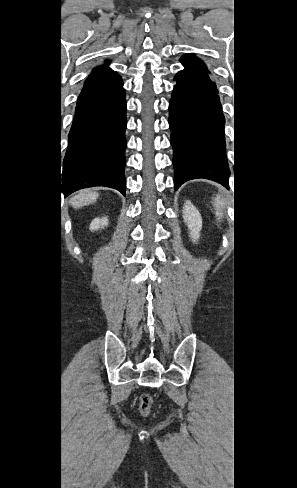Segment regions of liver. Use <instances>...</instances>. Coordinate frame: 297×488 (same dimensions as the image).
<instances>
[{"instance_id": "obj_1", "label": "liver", "mask_w": 297, "mask_h": 488, "mask_svg": "<svg viewBox=\"0 0 297 488\" xmlns=\"http://www.w3.org/2000/svg\"><path fill=\"white\" fill-rule=\"evenodd\" d=\"M98 196L99 194L96 192L82 191L79 192L77 195L73 196L69 202L71 206L77 209L95 202Z\"/></svg>"}]
</instances>
